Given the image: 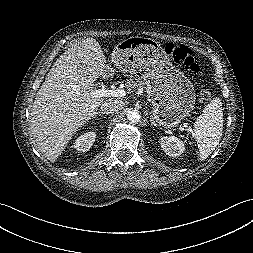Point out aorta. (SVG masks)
<instances>
[{
    "label": "aorta",
    "mask_w": 253,
    "mask_h": 253,
    "mask_svg": "<svg viewBox=\"0 0 253 253\" xmlns=\"http://www.w3.org/2000/svg\"><path fill=\"white\" fill-rule=\"evenodd\" d=\"M127 118H128V120L130 122L136 123V122L140 121L141 115H140L139 111H137V110H131L127 114Z\"/></svg>",
    "instance_id": "762f6f07"
}]
</instances>
